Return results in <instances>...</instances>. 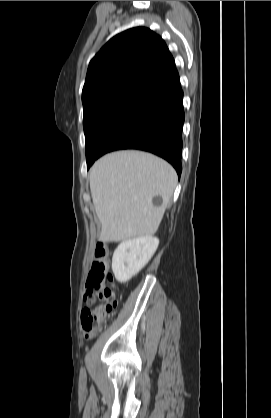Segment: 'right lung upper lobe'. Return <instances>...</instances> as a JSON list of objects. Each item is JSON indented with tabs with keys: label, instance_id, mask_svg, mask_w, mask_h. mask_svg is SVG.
I'll return each mask as SVG.
<instances>
[{
	"label": "right lung upper lobe",
	"instance_id": "1",
	"mask_svg": "<svg viewBox=\"0 0 271 418\" xmlns=\"http://www.w3.org/2000/svg\"><path fill=\"white\" fill-rule=\"evenodd\" d=\"M180 83L163 39L144 27L126 30L91 60L82 91L83 107L120 95L153 102Z\"/></svg>",
	"mask_w": 271,
	"mask_h": 418
}]
</instances>
